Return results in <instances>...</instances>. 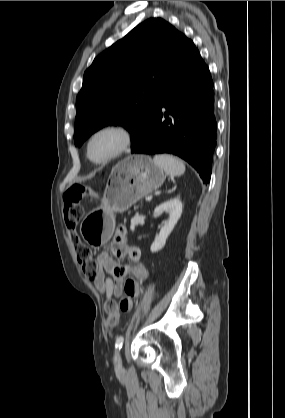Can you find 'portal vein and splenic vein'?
I'll list each match as a JSON object with an SVG mask.
<instances>
[{"mask_svg":"<svg viewBox=\"0 0 285 418\" xmlns=\"http://www.w3.org/2000/svg\"><path fill=\"white\" fill-rule=\"evenodd\" d=\"M152 200V195H150V196H147L146 198H145V201H151Z\"/></svg>","mask_w":285,"mask_h":418,"instance_id":"18ae733b","label":"portal vein and splenic vein"}]
</instances>
